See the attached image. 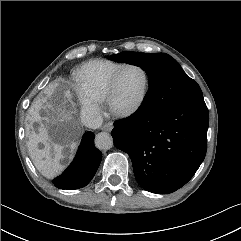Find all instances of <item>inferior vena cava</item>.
<instances>
[{
	"instance_id": "602c4592",
	"label": "inferior vena cava",
	"mask_w": 241,
	"mask_h": 241,
	"mask_svg": "<svg viewBox=\"0 0 241 241\" xmlns=\"http://www.w3.org/2000/svg\"><path fill=\"white\" fill-rule=\"evenodd\" d=\"M82 122L89 128H96L102 123V118L97 112L89 110L82 118Z\"/></svg>"
}]
</instances>
